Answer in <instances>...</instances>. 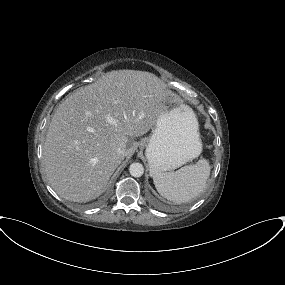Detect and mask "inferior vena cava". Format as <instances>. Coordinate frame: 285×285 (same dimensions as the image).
I'll list each match as a JSON object with an SVG mask.
<instances>
[{
  "mask_svg": "<svg viewBox=\"0 0 285 285\" xmlns=\"http://www.w3.org/2000/svg\"><path fill=\"white\" fill-rule=\"evenodd\" d=\"M116 152L119 157H124L126 153L124 148H118Z\"/></svg>",
  "mask_w": 285,
  "mask_h": 285,
  "instance_id": "602c4592",
  "label": "inferior vena cava"
}]
</instances>
